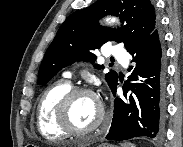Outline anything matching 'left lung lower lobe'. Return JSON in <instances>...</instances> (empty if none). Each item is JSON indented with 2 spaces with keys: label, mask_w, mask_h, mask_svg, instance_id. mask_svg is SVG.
<instances>
[{
  "label": "left lung lower lobe",
  "mask_w": 183,
  "mask_h": 147,
  "mask_svg": "<svg viewBox=\"0 0 183 147\" xmlns=\"http://www.w3.org/2000/svg\"><path fill=\"white\" fill-rule=\"evenodd\" d=\"M128 52L135 65L123 89L125 97L128 90L132 94L126 99H115L108 140L155 138L164 131L166 63L160 27ZM117 85L118 81L111 89L114 96Z\"/></svg>",
  "instance_id": "obj_1"
}]
</instances>
